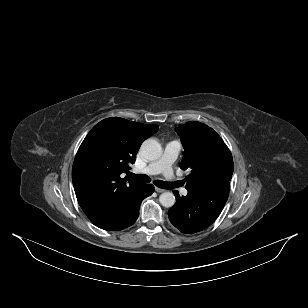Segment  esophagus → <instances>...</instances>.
<instances>
[{
  "label": "esophagus",
  "instance_id": "1",
  "mask_svg": "<svg viewBox=\"0 0 308 308\" xmlns=\"http://www.w3.org/2000/svg\"><path fill=\"white\" fill-rule=\"evenodd\" d=\"M155 191L158 192V193H162V192H164L165 190L162 189V188H159V187H155Z\"/></svg>",
  "mask_w": 308,
  "mask_h": 308
}]
</instances>
